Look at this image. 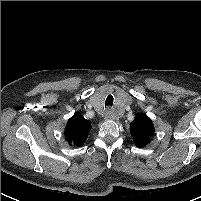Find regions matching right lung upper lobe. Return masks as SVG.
<instances>
[{"label": "right lung upper lobe", "mask_w": 201, "mask_h": 201, "mask_svg": "<svg viewBox=\"0 0 201 201\" xmlns=\"http://www.w3.org/2000/svg\"><path fill=\"white\" fill-rule=\"evenodd\" d=\"M90 130V121L85 119L80 113H76L68 120L64 134L70 145L81 147L86 141Z\"/></svg>", "instance_id": "cb5924a9"}]
</instances>
